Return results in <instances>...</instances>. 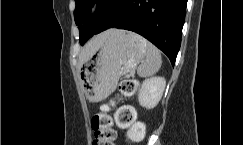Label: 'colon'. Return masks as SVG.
Returning <instances> with one entry per match:
<instances>
[{"instance_id":"1","label":"colon","mask_w":243,"mask_h":145,"mask_svg":"<svg viewBox=\"0 0 243 145\" xmlns=\"http://www.w3.org/2000/svg\"><path fill=\"white\" fill-rule=\"evenodd\" d=\"M136 89L137 82L132 78H125L119 83V91L125 96L133 95ZM108 112L109 106L105 105L91 119V126L95 135L92 145H114L116 138L114 124L119 128L128 129L129 137L133 141H139L144 137L145 126L142 122L136 120V111L132 106L119 107L114 117L110 116Z\"/></svg>"}]
</instances>
